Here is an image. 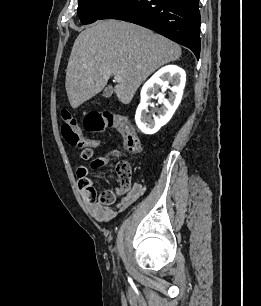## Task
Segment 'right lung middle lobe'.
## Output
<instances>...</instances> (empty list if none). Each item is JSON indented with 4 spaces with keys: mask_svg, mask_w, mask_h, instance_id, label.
Segmentation results:
<instances>
[{
    "mask_svg": "<svg viewBox=\"0 0 261 306\" xmlns=\"http://www.w3.org/2000/svg\"><path fill=\"white\" fill-rule=\"evenodd\" d=\"M117 1L118 0H79L77 11L81 23L85 25L95 22Z\"/></svg>",
    "mask_w": 261,
    "mask_h": 306,
    "instance_id": "obj_1",
    "label": "right lung middle lobe"
}]
</instances>
